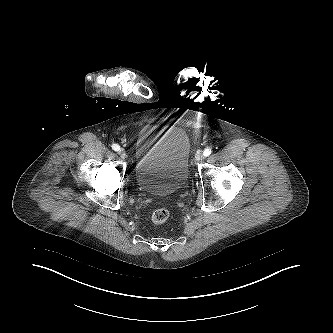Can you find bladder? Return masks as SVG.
Masks as SVG:
<instances>
[{"label": "bladder", "mask_w": 333, "mask_h": 333, "mask_svg": "<svg viewBox=\"0 0 333 333\" xmlns=\"http://www.w3.org/2000/svg\"><path fill=\"white\" fill-rule=\"evenodd\" d=\"M191 142L180 127L166 130L137 157L134 176L137 186L156 196L174 194L187 183Z\"/></svg>", "instance_id": "1"}]
</instances>
